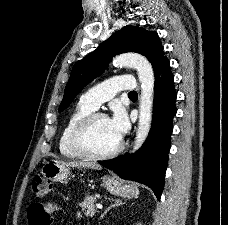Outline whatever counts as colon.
I'll return each mask as SVG.
<instances>
[{"instance_id":"obj_1","label":"colon","mask_w":228,"mask_h":225,"mask_svg":"<svg viewBox=\"0 0 228 225\" xmlns=\"http://www.w3.org/2000/svg\"><path fill=\"white\" fill-rule=\"evenodd\" d=\"M51 182H48L41 175H36L33 177L31 182V193L34 199H42L44 196L48 195L51 190Z\"/></svg>"}]
</instances>
